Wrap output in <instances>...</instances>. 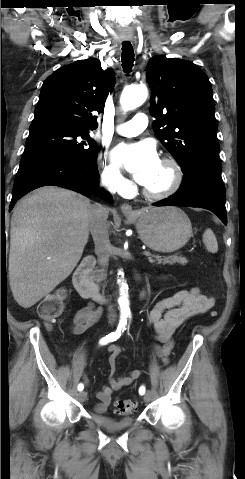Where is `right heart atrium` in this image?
<instances>
[{"label": "right heart atrium", "instance_id": "d8ad5b80", "mask_svg": "<svg viewBox=\"0 0 245 479\" xmlns=\"http://www.w3.org/2000/svg\"><path fill=\"white\" fill-rule=\"evenodd\" d=\"M100 181L104 187L118 193H125L130 185V182L114 165L105 161L101 165Z\"/></svg>", "mask_w": 245, "mask_h": 479}]
</instances>
